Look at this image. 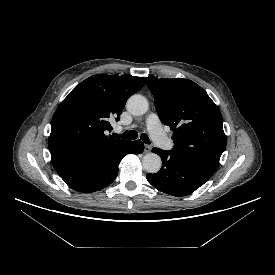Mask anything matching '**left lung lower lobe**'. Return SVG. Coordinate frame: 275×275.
<instances>
[{"mask_svg": "<svg viewBox=\"0 0 275 275\" xmlns=\"http://www.w3.org/2000/svg\"><path fill=\"white\" fill-rule=\"evenodd\" d=\"M152 152L161 157L162 167L155 174H147V180L164 193L177 197L188 195L212 176L171 151L155 147Z\"/></svg>", "mask_w": 275, "mask_h": 275, "instance_id": "1", "label": "left lung lower lobe"}]
</instances>
